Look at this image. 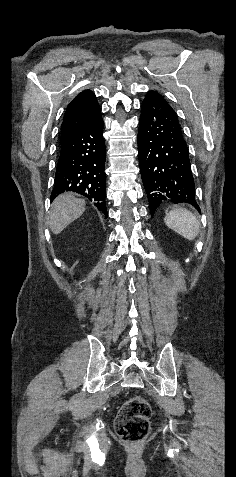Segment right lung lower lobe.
Wrapping results in <instances>:
<instances>
[{"label": "right lung lower lobe", "instance_id": "98d812e1", "mask_svg": "<svg viewBox=\"0 0 236 477\" xmlns=\"http://www.w3.org/2000/svg\"><path fill=\"white\" fill-rule=\"evenodd\" d=\"M105 157L103 120L99 115L77 135L60 144L51 200L66 191L76 192L94 202L107 217Z\"/></svg>", "mask_w": 236, "mask_h": 477}]
</instances>
